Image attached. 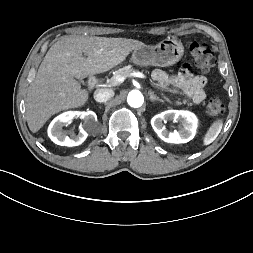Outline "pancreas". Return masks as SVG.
<instances>
[{
    "instance_id": "pancreas-1",
    "label": "pancreas",
    "mask_w": 253,
    "mask_h": 253,
    "mask_svg": "<svg viewBox=\"0 0 253 253\" xmlns=\"http://www.w3.org/2000/svg\"><path fill=\"white\" fill-rule=\"evenodd\" d=\"M135 70L132 68L131 65L125 66L123 68H120L118 70L115 71V75H126L129 74L131 72H134ZM177 105H181V104H187L188 106H192V103L187 102L186 100H183L182 102L177 101L176 103Z\"/></svg>"
}]
</instances>
